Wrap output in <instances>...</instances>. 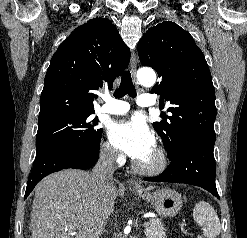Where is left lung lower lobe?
<instances>
[{
    "label": "left lung lower lobe",
    "mask_w": 247,
    "mask_h": 238,
    "mask_svg": "<svg viewBox=\"0 0 247 238\" xmlns=\"http://www.w3.org/2000/svg\"><path fill=\"white\" fill-rule=\"evenodd\" d=\"M170 164L157 177H146L145 181L185 183L202 187L219 198L216 184V164L213 149L194 141H182L172 154Z\"/></svg>",
    "instance_id": "left-lung-lower-lobe-1"
}]
</instances>
